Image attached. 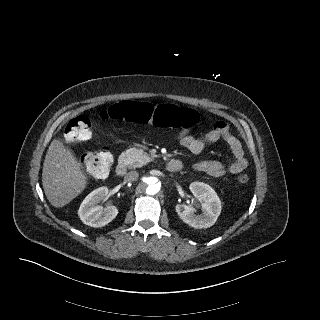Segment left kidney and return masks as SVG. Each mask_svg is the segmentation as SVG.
Returning a JSON list of instances; mask_svg holds the SVG:
<instances>
[{
    "instance_id": "left-kidney-1",
    "label": "left kidney",
    "mask_w": 320,
    "mask_h": 320,
    "mask_svg": "<svg viewBox=\"0 0 320 320\" xmlns=\"http://www.w3.org/2000/svg\"><path fill=\"white\" fill-rule=\"evenodd\" d=\"M190 191L198 200H203L201 204L202 214L197 215L195 208L185 204L176 205V212L179 217L189 226L202 229L214 225L221 213V201L212 187L202 182L190 184Z\"/></svg>"
}]
</instances>
